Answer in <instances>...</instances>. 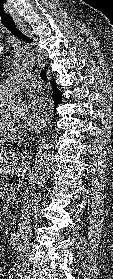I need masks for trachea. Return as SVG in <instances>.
Instances as JSON below:
<instances>
[{
    "label": "trachea",
    "instance_id": "obj_1",
    "mask_svg": "<svg viewBox=\"0 0 113 279\" xmlns=\"http://www.w3.org/2000/svg\"><path fill=\"white\" fill-rule=\"evenodd\" d=\"M13 35H15L16 37L22 39L23 41H25L26 43H32L33 39L30 38L29 36H27L26 34H24L21 30H19L15 25H6L5 26ZM40 77L42 80L47 81V75H46V71L42 70L40 72Z\"/></svg>",
    "mask_w": 113,
    "mask_h": 279
}]
</instances>
